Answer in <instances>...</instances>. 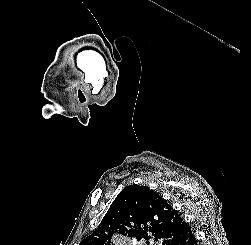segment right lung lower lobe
<instances>
[{
	"instance_id": "98d812e1",
	"label": "right lung lower lobe",
	"mask_w": 251,
	"mask_h": 245,
	"mask_svg": "<svg viewBox=\"0 0 251 245\" xmlns=\"http://www.w3.org/2000/svg\"><path fill=\"white\" fill-rule=\"evenodd\" d=\"M165 245H197V244L192 231L190 230V228H188L186 229V231L182 232L178 237L170 240Z\"/></svg>"
}]
</instances>
